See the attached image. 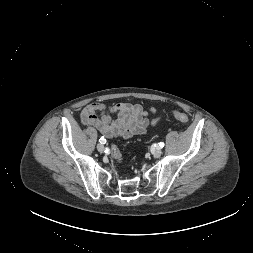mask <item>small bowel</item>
Segmentation results:
<instances>
[{
  "label": "small bowel",
  "mask_w": 253,
  "mask_h": 253,
  "mask_svg": "<svg viewBox=\"0 0 253 253\" xmlns=\"http://www.w3.org/2000/svg\"><path fill=\"white\" fill-rule=\"evenodd\" d=\"M156 113L155 108L145 109L140 104L122 102L107 107L93 102L82 110L81 120L83 124L95 127L106 137L128 139L144 134L148 127L155 125L159 120Z\"/></svg>",
  "instance_id": "c3829d8e"
}]
</instances>
